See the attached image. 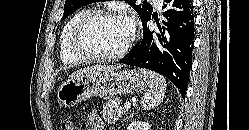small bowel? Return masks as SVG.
<instances>
[{"instance_id":"obj_1","label":"small bowel","mask_w":249,"mask_h":130,"mask_svg":"<svg viewBox=\"0 0 249 130\" xmlns=\"http://www.w3.org/2000/svg\"><path fill=\"white\" fill-rule=\"evenodd\" d=\"M104 123L100 118L98 112L92 111L86 118V129L87 130H103Z\"/></svg>"}]
</instances>
